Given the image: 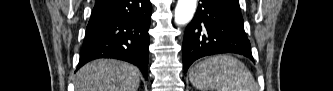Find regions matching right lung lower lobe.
Returning <instances> with one entry per match:
<instances>
[{
  "mask_svg": "<svg viewBox=\"0 0 333 91\" xmlns=\"http://www.w3.org/2000/svg\"><path fill=\"white\" fill-rule=\"evenodd\" d=\"M151 13L150 0H98L77 69L94 59L115 58L138 66L147 79Z\"/></svg>",
  "mask_w": 333,
  "mask_h": 91,
  "instance_id": "obj_1",
  "label": "right lung lower lobe"
}]
</instances>
